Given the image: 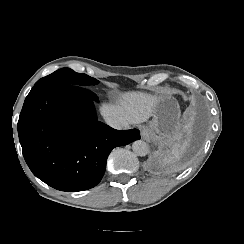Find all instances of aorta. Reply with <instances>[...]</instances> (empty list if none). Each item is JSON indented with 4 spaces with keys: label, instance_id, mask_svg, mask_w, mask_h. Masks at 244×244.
<instances>
[{
    "label": "aorta",
    "instance_id": "1",
    "mask_svg": "<svg viewBox=\"0 0 244 244\" xmlns=\"http://www.w3.org/2000/svg\"><path fill=\"white\" fill-rule=\"evenodd\" d=\"M132 149L137 156L141 157L146 156L149 152L148 144L142 140L134 141L132 144Z\"/></svg>",
    "mask_w": 244,
    "mask_h": 244
}]
</instances>
